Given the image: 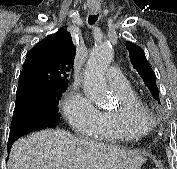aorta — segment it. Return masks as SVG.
<instances>
[{
	"mask_svg": "<svg viewBox=\"0 0 177 169\" xmlns=\"http://www.w3.org/2000/svg\"><path fill=\"white\" fill-rule=\"evenodd\" d=\"M113 57V49L108 45L95 46L90 53L84 71L83 90L90 100L101 106L110 103L105 71Z\"/></svg>",
	"mask_w": 177,
	"mask_h": 169,
	"instance_id": "aorta-1",
	"label": "aorta"
}]
</instances>
